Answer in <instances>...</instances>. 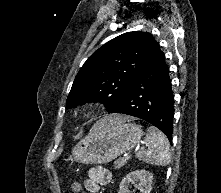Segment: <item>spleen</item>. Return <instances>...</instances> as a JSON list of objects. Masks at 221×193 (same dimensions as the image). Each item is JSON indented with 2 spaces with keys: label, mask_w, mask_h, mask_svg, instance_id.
<instances>
[{
  "label": "spleen",
  "mask_w": 221,
  "mask_h": 193,
  "mask_svg": "<svg viewBox=\"0 0 221 193\" xmlns=\"http://www.w3.org/2000/svg\"><path fill=\"white\" fill-rule=\"evenodd\" d=\"M145 144L147 149L137 153L139 160L157 166H166L169 164L171 158L169 141L160 130L153 126L149 127Z\"/></svg>",
  "instance_id": "1"
}]
</instances>
